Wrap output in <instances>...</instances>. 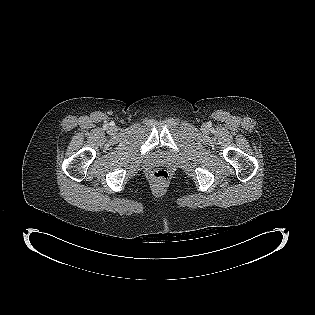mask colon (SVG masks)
<instances>
[{
    "label": "colon",
    "instance_id": "obj_1",
    "mask_svg": "<svg viewBox=\"0 0 315 315\" xmlns=\"http://www.w3.org/2000/svg\"><path fill=\"white\" fill-rule=\"evenodd\" d=\"M151 177L154 182L158 184H163L168 181L169 173L165 169H156L155 171H153Z\"/></svg>",
    "mask_w": 315,
    "mask_h": 315
}]
</instances>
